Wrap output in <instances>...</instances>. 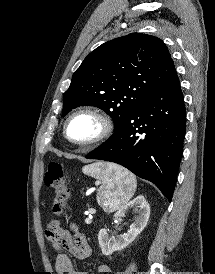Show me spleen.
I'll return each mask as SVG.
<instances>
[{
  "label": "spleen",
  "instance_id": "1",
  "mask_svg": "<svg viewBox=\"0 0 215 274\" xmlns=\"http://www.w3.org/2000/svg\"><path fill=\"white\" fill-rule=\"evenodd\" d=\"M82 171L102 181L97 200L107 212L120 209L134 195L137 186L136 178L121 166L111 163H94L84 166Z\"/></svg>",
  "mask_w": 215,
  "mask_h": 274
}]
</instances>
